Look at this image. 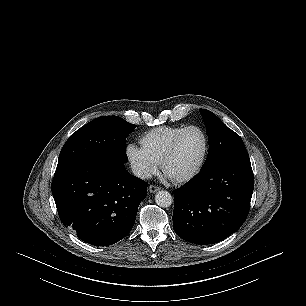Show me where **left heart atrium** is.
I'll return each mask as SVG.
<instances>
[{"label": "left heart atrium", "instance_id": "obj_1", "mask_svg": "<svg viewBox=\"0 0 306 306\" xmlns=\"http://www.w3.org/2000/svg\"><path fill=\"white\" fill-rule=\"evenodd\" d=\"M166 176H167L168 178H171V177H169L167 174H166Z\"/></svg>", "mask_w": 306, "mask_h": 306}]
</instances>
